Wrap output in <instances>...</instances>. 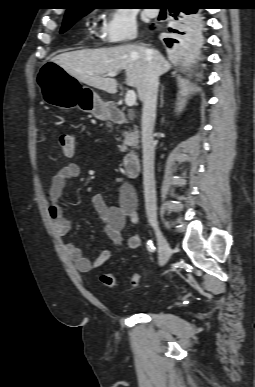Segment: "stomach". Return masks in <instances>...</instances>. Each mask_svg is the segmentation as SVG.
I'll return each instance as SVG.
<instances>
[{
    "instance_id": "stomach-1",
    "label": "stomach",
    "mask_w": 255,
    "mask_h": 387,
    "mask_svg": "<svg viewBox=\"0 0 255 387\" xmlns=\"http://www.w3.org/2000/svg\"><path fill=\"white\" fill-rule=\"evenodd\" d=\"M37 82L44 101L52 106L61 109L75 106L100 120H106L109 116L107 104L93 89L82 85L54 62L43 67L37 75Z\"/></svg>"
}]
</instances>
